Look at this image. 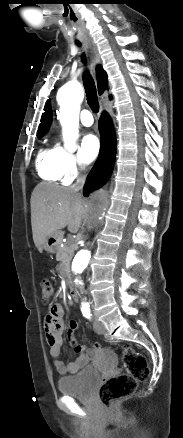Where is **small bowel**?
<instances>
[{"instance_id": "small-bowel-1", "label": "small bowel", "mask_w": 183, "mask_h": 438, "mask_svg": "<svg viewBox=\"0 0 183 438\" xmlns=\"http://www.w3.org/2000/svg\"><path fill=\"white\" fill-rule=\"evenodd\" d=\"M63 314L62 306L55 303L49 307L45 317L46 340L50 346V354L54 358H59L62 354ZM77 328L78 323L74 320H71L67 325V340L70 347L78 354L76 360L67 364L58 359L54 362L57 372L61 375L79 372L101 348L98 343H94L89 347L79 343L76 338Z\"/></svg>"}]
</instances>
